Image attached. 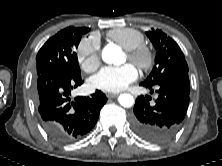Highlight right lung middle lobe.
Returning a JSON list of instances; mask_svg holds the SVG:
<instances>
[{
    "instance_id": "obj_1",
    "label": "right lung middle lobe",
    "mask_w": 222,
    "mask_h": 166,
    "mask_svg": "<svg viewBox=\"0 0 222 166\" xmlns=\"http://www.w3.org/2000/svg\"><path fill=\"white\" fill-rule=\"evenodd\" d=\"M89 31L86 27H67L48 39L36 57L37 75L49 70L62 69L81 76L75 49L81 36Z\"/></svg>"
}]
</instances>
